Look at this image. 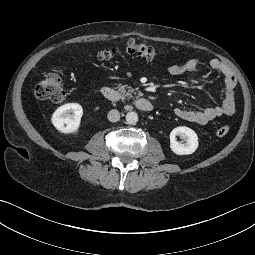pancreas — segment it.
<instances>
[{
	"mask_svg": "<svg viewBox=\"0 0 255 255\" xmlns=\"http://www.w3.org/2000/svg\"><path fill=\"white\" fill-rule=\"evenodd\" d=\"M128 88V89H126ZM118 91L120 92L122 99H130L132 98V94L136 95V97H140L142 94L140 92H137L135 89H132L128 86L118 85Z\"/></svg>",
	"mask_w": 255,
	"mask_h": 255,
	"instance_id": "cf45deb5",
	"label": "pancreas"
}]
</instances>
